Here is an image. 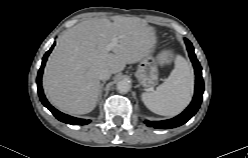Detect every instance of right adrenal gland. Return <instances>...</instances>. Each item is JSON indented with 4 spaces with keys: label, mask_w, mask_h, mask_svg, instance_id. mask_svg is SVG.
Here are the masks:
<instances>
[{
    "label": "right adrenal gland",
    "mask_w": 248,
    "mask_h": 158,
    "mask_svg": "<svg viewBox=\"0 0 248 158\" xmlns=\"http://www.w3.org/2000/svg\"><path fill=\"white\" fill-rule=\"evenodd\" d=\"M104 84H105V82H103V83L100 84V92H99V99H98V101H99V100L101 99V97H102V90H103Z\"/></svg>",
    "instance_id": "obj_1"
}]
</instances>
